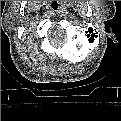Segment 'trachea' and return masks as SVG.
I'll return each mask as SVG.
<instances>
[{"mask_svg": "<svg viewBox=\"0 0 121 121\" xmlns=\"http://www.w3.org/2000/svg\"><path fill=\"white\" fill-rule=\"evenodd\" d=\"M60 8H61V5H60L59 2L53 1V2L51 3V9H52L53 11H57V10H59Z\"/></svg>", "mask_w": 121, "mask_h": 121, "instance_id": "obj_1", "label": "trachea"}]
</instances>
